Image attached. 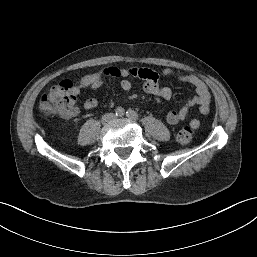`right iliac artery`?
<instances>
[{
    "label": "right iliac artery",
    "instance_id": "82829eb1",
    "mask_svg": "<svg viewBox=\"0 0 257 257\" xmlns=\"http://www.w3.org/2000/svg\"><path fill=\"white\" fill-rule=\"evenodd\" d=\"M115 113H116V116L122 117L124 115V109L119 107L116 109Z\"/></svg>",
    "mask_w": 257,
    "mask_h": 257
}]
</instances>
